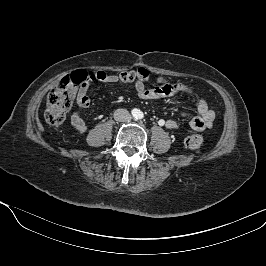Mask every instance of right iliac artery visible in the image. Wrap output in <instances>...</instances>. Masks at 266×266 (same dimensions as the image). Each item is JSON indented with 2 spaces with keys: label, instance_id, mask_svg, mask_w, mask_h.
Wrapping results in <instances>:
<instances>
[{
  "label": "right iliac artery",
  "instance_id": "right-iliac-artery-1",
  "mask_svg": "<svg viewBox=\"0 0 266 266\" xmlns=\"http://www.w3.org/2000/svg\"><path fill=\"white\" fill-rule=\"evenodd\" d=\"M132 114H133V115H136V114H137V110H135V109L132 110Z\"/></svg>",
  "mask_w": 266,
  "mask_h": 266
}]
</instances>
